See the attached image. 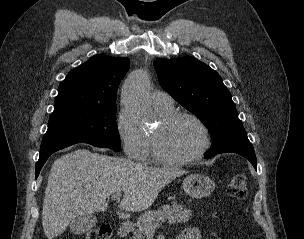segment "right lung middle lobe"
I'll return each mask as SVG.
<instances>
[{
  "instance_id": "right-lung-middle-lobe-1",
  "label": "right lung middle lobe",
  "mask_w": 304,
  "mask_h": 239,
  "mask_svg": "<svg viewBox=\"0 0 304 239\" xmlns=\"http://www.w3.org/2000/svg\"><path fill=\"white\" fill-rule=\"evenodd\" d=\"M116 109V105H111L53 112L41 145L76 141L96 143L120 151Z\"/></svg>"
}]
</instances>
